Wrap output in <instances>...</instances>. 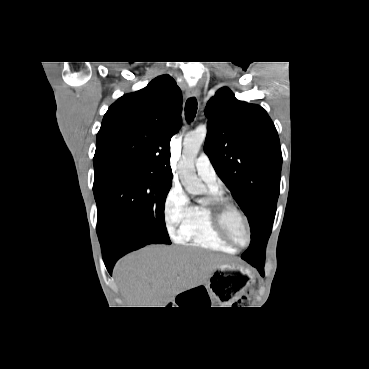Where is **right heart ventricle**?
<instances>
[{"label": "right heart ventricle", "instance_id": "obj_1", "mask_svg": "<svg viewBox=\"0 0 369 369\" xmlns=\"http://www.w3.org/2000/svg\"><path fill=\"white\" fill-rule=\"evenodd\" d=\"M210 197H220L219 191L210 189ZM205 202L190 206L189 214L180 227L177 239L193 246L234 253L236 249L226 243L215 230Z\"/></svg>", "mask_w": 369, "mask_h": 369}]
</instances>
